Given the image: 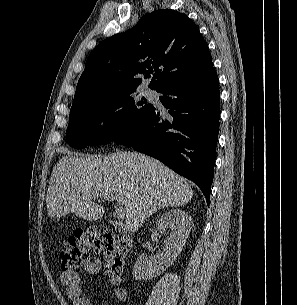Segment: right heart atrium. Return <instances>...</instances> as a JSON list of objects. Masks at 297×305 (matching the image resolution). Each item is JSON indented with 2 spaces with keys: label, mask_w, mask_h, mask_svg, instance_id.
Returning <instances> with one entry per match:
<instances>
[{
  "label": "right heart atrium",
  "mask_w": 297,
  "mask_h": 305,
  "mask_svg": "<svg viewBox=\"0 0 297 305\" xmlns=\"http://www.w3.org/2000/svg\"><path fill=\"white\" fill-rule=\"evenodd\" d=\"M117 122V112L115 109H106L99 117V123L103 129V132L107 135L114 132L117 127Z\"/></svg>",
  "instance_id": "1"
}]
</instances>
